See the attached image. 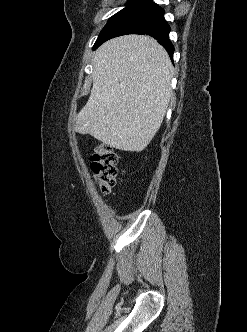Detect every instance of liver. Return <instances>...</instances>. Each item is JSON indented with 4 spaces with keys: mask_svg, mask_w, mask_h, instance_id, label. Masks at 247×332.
I'll return each mask as SVG.
<instances>
[{
    "mask_svg": "<svg viewBox=\"0 0 247 332\" xmlns=\"http://www.w3.org/2000/svg\"><path fill=\"white\" fill-rule=\"evenodd\" d=\"M93 87L75 130L118 150L140 152L159 130L172 94L173 65L146 35L105 42L94 56Z\"/></svg>",
    "mask_w": 247,
    "mask_h": 332,
    "instance_id": "obj_1",
    "label": "liver"
}]
</instances>
